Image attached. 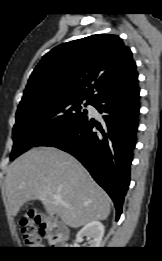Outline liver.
<instances>
[{"label": "liver", "instance_id": "1", "mask_svg": "<svg viewBox=\"0 0 162 261\" xmlns=\"http://www.w3.org/2000/svg\"><path fill=\"white\" fill-rule=\"evenodd\" d=\"M6 195L13 216L24 203L38 199L48 214H57L72 228L105 220L111 210L109 196L88 171L54 147L34 148L16 159L7 172Z\"/></svg>", "mask_w": 162, "mask_h": 261}]
</instances>
